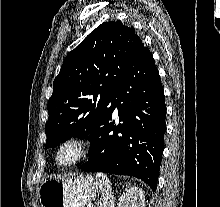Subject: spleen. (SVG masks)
Instances as JSON below:
<instances>
[{"label":"spleen","mask_w":220,"mask_h":207,"mask_svg":"<svg viewBox=\"0 0 220 207\" xmlns=\"http://www.w3.org/2000/svg\"><path fill=\"white\" fill-rule=\"evenodd\" d=\"M96 179L98 180L102 194L98 207H113L114 197L108 177L105 174L97 173Z\"/></svg>","instance_id":"1"}]
</instances>
